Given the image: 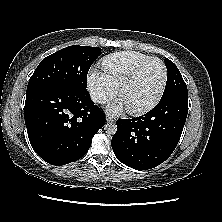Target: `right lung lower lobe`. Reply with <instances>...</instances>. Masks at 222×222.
Returning <instances> with one entry per match:
<instances>
[{"mask_svg":"<svg viewBox=\"0 0 222 222\" xmlns=\"http://www.w3.org/2000/svg\"><path fill=\"white\" fill-rule=\"evenodd\" d=\"M25 124L30 144L46 162L60 166L83 157L93 136L105 124V115L87 90L56 85L29 91Z\"/></svg>","mask_w":222,"mask_h":222,"instance_id":"98d812e1","label":"right lung lower lobe"}]
</instances>
